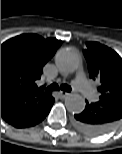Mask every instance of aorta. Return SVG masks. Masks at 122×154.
<instances>
[{"label": "aorta", "mask_w": 122, "mask_h": 154, "mask_svg": "<svg viewBox=\"0 0 122 154\" xmlns=\"http://www.w3.org/2000/svg\"><path fill=\"white\" fill-rule=\"evenodd\" d=\"M55 65L64 74L74 73L80 66L77 53L71 48L60 49L55 57ZM85 100L81 95L69 94L65 99V106L71 113H81L85 109Z\"/></svg>", "instance_id": "762f6f07"}]
</instances>
